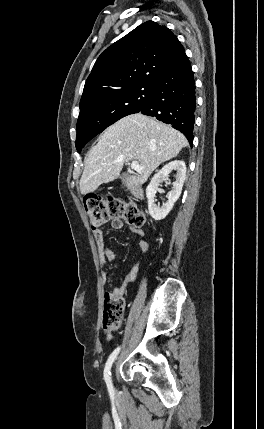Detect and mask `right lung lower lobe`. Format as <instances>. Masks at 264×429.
Instances as JSON below:
<instances>
[{"label":"right lung lower lobe","instance_id":"right-lung-lower-lobe-1","mask_svg":"<svg viewBox=\"0 0 264 429\" xmlns=\"http://www.w3.org/2000/svg\"><path fill=\"white\" fill-rule=\"evenodd\" d=\"M196 96L191 64L184 54L154 84L151 97L139 111L172 124L193 143Z\"/></svg>","mask_w":264,"mask_h":429}]
</instances>
